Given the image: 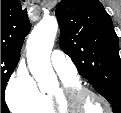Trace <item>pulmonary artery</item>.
Segmentation results:
<instances>
[{"label": "pulmonary artery", "instance_id": "1", "mask_svg": "<svg viewBox=\"0 0 121 113\" xmlns=\"http://www.w3.org/2000/svg\"><path fill=\"white\" fill-rule=\"evenodd\" d=\"M51 64L56 73L63 78L77 77V68L74 63L68 59L64 52L55 50L51 55Z\"/></svg>", "mask_w": 121, "mask_h": 113}]
</instances>
